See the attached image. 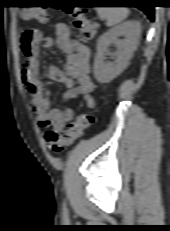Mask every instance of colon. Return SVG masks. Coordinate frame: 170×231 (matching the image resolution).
<instances>
[{
    "mask_svg": "<svg viewBox=\"0 0 170 231\" xmlns=\"http://www.w3.org/2000/svg\"><path fill=\"white\" fill-rule=\"evenodd\" d=\"M87 11L80 8H71L67 11L72 20V25L85 39H92L96 33V23L86 16ZM26 20L45 23L49 20L48 13L41 8H29L23 11ZM93 116L84 112L76 116L62 132L50 130L45 134V143L48 149L59 153L71 146L77 139L81 138L85 131L91 126Z\"/></svg>",
    "mask_w": 170,
    "mask_h": 231,
    "instance_id": "colon-1",
    "label": "colon"
}]
</instances>
